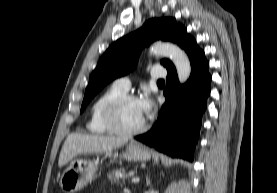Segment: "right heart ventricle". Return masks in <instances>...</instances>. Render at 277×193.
<instances>
[{"mask_svg": "<svg viewBox=\"0 0 277 193\" xmlns=\"http://www.w3.org/2000/svg\"><path fill=\"white\" fill-rule=\"evenodd\" d=\"M115 84L103 91L91 104L86 128L90 133L97 135L109 134L110 131L104 124L102 112L103 108L111 99L124 94Z\"/></svg>", "mask_w": 277, "mask_h": 193, "instance_id": "e07e8e85", "label": "right heart ventricle"}]
</instances>
